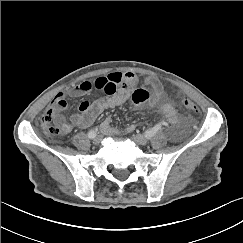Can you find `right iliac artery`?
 <instances>
[{
	"instance_id": "right-iliac-artery-1",
	"label": "right iliac artery",
	"mask_w": 243,
	"mask_h": 243,
	"mask_svg": "<svg viewBox=\"0 0 243 243\" xmlns=\"http://www.w3.org/2000/svg\"><path fill=\"white\" fill-rule=\"evenodd\" d=\"M96 135H97V131H96V130H90V131L88 132V137H89L90 139L95 138Z\"/></svg>"
}]
</instances>
